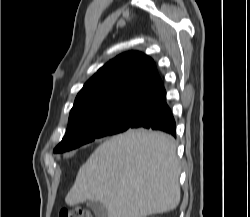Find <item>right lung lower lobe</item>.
<instances>
[{"label": "right lung lower lobe", "mask_w": 250, "mask_h": 217, "mask_svg": "<svg viewBox=\"0 0 250 217\" xmlns=\"http://www.w3.org/2000/svg\"><path fill=\"white\" fill-rule=\"evenodd\" d=\"M130 128L159 130L176 137V123L166 103L164 87L146 97L139 104Z\"/></svg>", "instance_id": "98d812e1"}]
</instances>
